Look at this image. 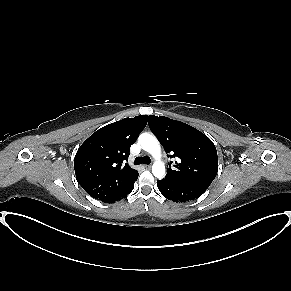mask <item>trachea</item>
I'll use <instances>...</instances> for the list:
<instances>
[{"mask_svg": "<svg viewBox=\"0 0 291 291\" xmlns=\"http://www.w3.org/2000/svg\"><path fill=\"white\" fill-rule=\"evenodd\" d=\"M151 163V159L148 156H144V157H137L134 161L135 165H139V164H150Z\"/></svg>", "mask_w": 291, "mask_h": 291, "instance_id": "3493384b", "label": "trachea"}]
</instances>
